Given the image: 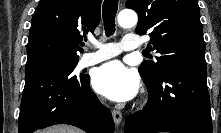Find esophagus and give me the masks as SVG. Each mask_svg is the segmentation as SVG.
Here are the masks:
<instances>
[{"label":"esophagus","mask_w":221,"mask_h":133,"mask_svg":"<svg viewBox=\"0 0 221 133\" xmlns=\"http://www.w3.org/2000/svg\"><path fill=\"white\" fill-rule=\"evenodd\" d=\"M112 117L116 125H119L122 122V113L119 110L112 111Z\"/></svg>","instance_id":"esophagus-1"}]
</instances>
